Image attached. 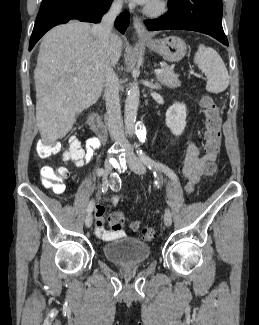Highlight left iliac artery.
<instances>
[{"instance_id":"left-iliac-artery-1","label":"left iliac artery","mask_w":259,"mask_h":325,"mask_svg":"<svg viewBox=\"0 0 259 325\" xmlns=\"http://www.w3.org/2000/svg\"><path fill=\"white\" fill-rule=\"evenodd\" d=\"M137 154H138L140 160H148L149 164L153 165V168H158L160 171H162L164 174L169 176L171 179L177 180L176 174L169 167H167L166 165H164L160 162L154 161L148 155H146V153L142 149L138 148Z\"/></svg>"}]
</instances>
